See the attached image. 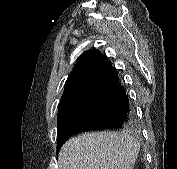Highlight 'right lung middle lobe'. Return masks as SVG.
I'll return each instance as SVG.
<instances>
[{"mask_svg":"<svg viewBox=\"0 0 177 169\" xmlns=\"http://www.w3.org/2000/svg\"><path fill=\"white\" fill-rule=\"evenodd\" d=\"M89 90L85 87L77 93L62 99L58 105V124L76 116L88 103Z\"/></svg>","mask_w":177,"mask_h":169,"instance_id":"right-lung-middle-lobe-1","label":"right lung middle lobe"}]
</instances>
